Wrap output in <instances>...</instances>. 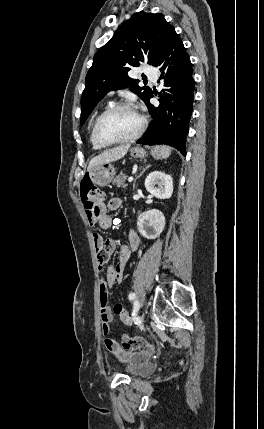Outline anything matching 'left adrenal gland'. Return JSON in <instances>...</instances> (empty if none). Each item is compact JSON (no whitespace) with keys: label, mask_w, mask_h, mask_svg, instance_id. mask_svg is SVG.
Listing matches in <instances>:
<instances>
[{"label":"left adrenal gland","mask_w":264,"mask_h":429,"mask_svg":"<svg viewBox=\"0 0 264 429\" xmlns=\"http://www.w3.org/2000/svg\"><path fill=\"white\" fill-rule=\"evenodd\" d=\"M151 165H146L145 167L142 168V171L139 173V175L135 178L134 183H133V189H135V185H136V180L142 176V174L145 172V170H147L148 168H150Z\"/></svg>","instance_id":"obj_1"}]
</instances>
